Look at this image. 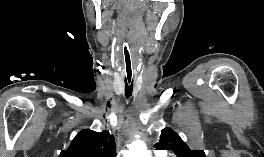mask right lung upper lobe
Listing matches in <instances>:
<instances>
[{"instance_id":"obj_1","label":"right lung upper lobe","mask_w":264,"mask_h":157,"mask_svg":"<svg viewBox=\"0 0 264 157\" xmlns=\"http://www.w3.org/2000/svg\"><path fill=\"white\" fill-rule=\"evenodd\" d=\"M60 157H116L114 137L107 131L82 130Z\"/></svg>"}]
</instances>
